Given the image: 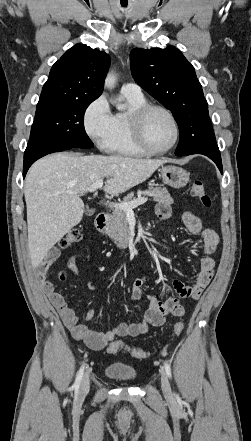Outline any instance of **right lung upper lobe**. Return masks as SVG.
<instances>
[{
    "mask_svg": "<svg viewBox=\"0 0 251 441\" xmlns=\"http://www.w3.org/2000/svg\"><path fill=\"white\" fill-rule=\"evenodd\" d=\"M110 61L105 52L76 44L52 66L39 102L98 98Z\"/></svg>",
    "mask_w": 251,
    "mask_h": 441,
    "instance_id": "1",
    "label": "right lung upper lobe"
}]
</instances>
